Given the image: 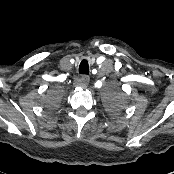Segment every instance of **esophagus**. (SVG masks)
<instances>
[{"mask_svg":"<svg viewBox=\"0 0 174 174\" xmlns=\"http://www.w3.org/2000/svg\"><path fill=\"white\" fill-rule=\"evenodd\" d=\"M90 77L88 75H83L81 77V83L83 86H87L89 84Z\"/></svg>","mask_w":174,"mask_h":174,"instance_id":"obj_1","label":"esophagus"}]
</instances>
